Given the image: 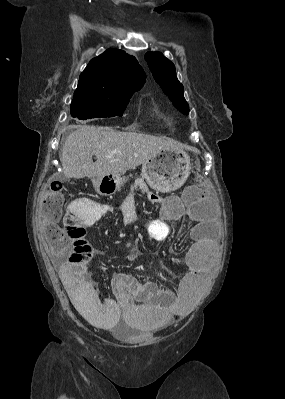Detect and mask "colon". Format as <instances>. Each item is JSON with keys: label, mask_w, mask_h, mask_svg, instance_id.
Returning a JSON list of instances; mask_svg holds the SVG:
<instances>
[{"label": "colon", "mask_w": 285, "mask_h": 399, "mask_svg": "<svg viewBox=\"0 0 285 399\" xmlns=\"http://www.w3.org/2000/svg\"><path fill=\"white\" fill-rule=\"evenodd\" d=\"M199 179L204 181L202 176ZM63 203V188L54 182L43 193L38 207L40 219L44 223V237L55 252H60L65 243L62 227L58 224L62 216Z\"/></svg>", "instance_id": "obj_1"}]
</instances>
